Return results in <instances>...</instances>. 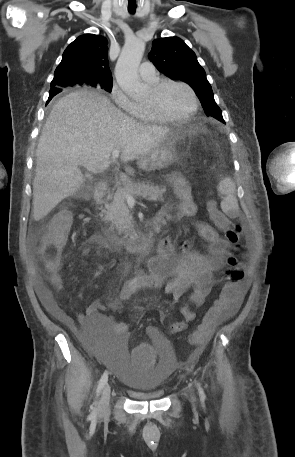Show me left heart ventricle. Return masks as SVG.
Masks as SVG:
<instances>
[{
  "instance_id": "1",
  "label": "left heart ventricle",
  "mask_w": 295,
  "mask_h": 457,
  "mask_svg": "<svg viewBox=\"0 0 295 457\" xmlns=\"http://www.w3.org/2000/svg\"><path fill=\"white\" fill-rule=\"evenodd\" d=\"M146 103L155 104L164 116L180 117L191 109L192 98L184 87L169 85L158 94L151 90Z\"/></svg>"
}]
</instances>
